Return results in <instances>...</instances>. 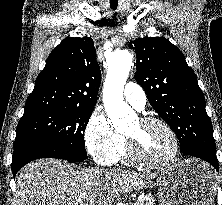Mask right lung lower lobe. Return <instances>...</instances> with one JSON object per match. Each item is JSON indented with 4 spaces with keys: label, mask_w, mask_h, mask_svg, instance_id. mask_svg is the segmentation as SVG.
<instances>
[{
    "label": "right lung lower lobe",
    "mask_w": 222,
    "mask_h": 205,
    "mask_svg": "<svg viewBox=\"0 0 222 205\" xmlns=\"http://www.w3.org/2000/svg\"><path fill=\"white\" fill-rule=\"evenodd\" d=\"M59 158L70 162H80L85 159L72 155L68 150L42 140H21L14 142L12 160L13 176L27 163L39 158Z\"/></svg>",
    "instance_id": "right-lung-lower-lobe-1"
}]
</instances>
